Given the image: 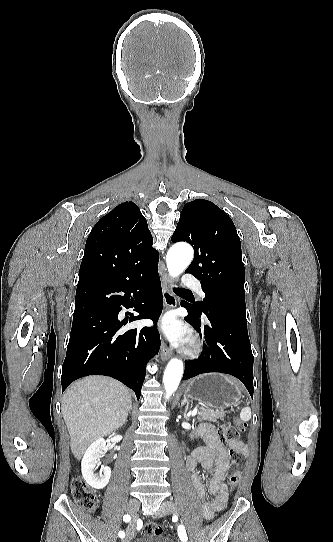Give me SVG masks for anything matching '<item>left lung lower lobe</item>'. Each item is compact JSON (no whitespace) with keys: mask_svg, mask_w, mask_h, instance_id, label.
Wrapping results in <instances>:
<instances>
[{"mask_svg":"<svg viewBox=\"0 0 333 542\" xmlns=\"http://www.w3.org/2000/svg\"><path fill=\"white\" fill-rule=\"evenodd\" d=\"M181 306L188 311L187 322L205 340L199 358L186 361L183 379L208 372L226 373L241 380L253 396L254 359L247 331L246 309L220 305L202 321L197 319L191 302L182 301Z\"/></svg>","mask_w":333,"mask_h":542,"instance_id":"1","label":"left lung lower lobe"}]
</instances>
